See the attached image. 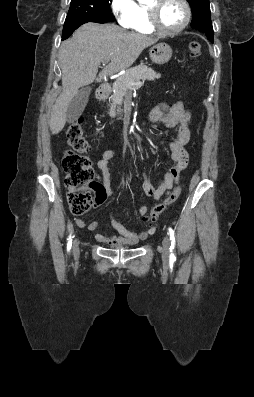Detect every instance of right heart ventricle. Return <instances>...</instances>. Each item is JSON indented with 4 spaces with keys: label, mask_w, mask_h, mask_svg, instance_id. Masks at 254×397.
<instances>
[{
    "label": "right heart ventricle",
    "mask_w": 254,
    "mask_h": 397,
    "mask_svg": "<svg viewBox=\"0 0 254 397\" xmlns=\"http://www.w3.org/2000/svg\"><path fill=\"white\" fill-rule=\"evenodd\" d=\"M132 29L140 34L153 33V30L148 22V13L146 6L138 5L137 18L132 26Z\"/></svg>",
    "instance_id": "1"
}]
</instances>
